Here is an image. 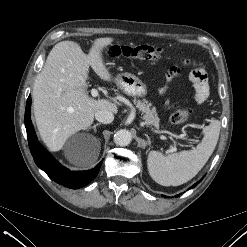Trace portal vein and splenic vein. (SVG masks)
<instances>
[{"label":"portal vein and splenic vein","mask_w":247,"mask_h":247,"mask_svg":"<svg viewBox=\"0 0 247 247\" xmlns=\"http://www.w3.org/2000/svg\"><path fill=\"white\" fill-rule=\"evenodd\" d=\"M91 95L93 96V97H98L99 96V92H98V90L96 89V88H92L91 89ZM155 132H157V133H167V134H170L171 136H173V137H175V138H179V136H177V135H174V134H172V133H170V132H168V131H156L155 130ZM174 151H176V148L175 147H172L171 149H170V152H174Z\"/></svg>","instance_id":"portal-vein-and-splenic-vein-1"}]
</instances>
